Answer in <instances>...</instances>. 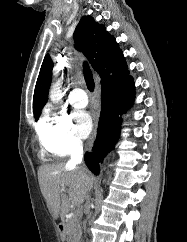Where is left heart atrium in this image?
I'll return each instance as SVG.
<instances>
[{
  "mask_svg": "<svg viewBox=\"0 0 187 242\" xmlns=\"http://www.w3.org/2000/svg\"><path fill=\"white\" fill-rule=\"evenodd\" d=\"M74 119L76 133L80 137L86 138L93 128V119L91 115L87 111H77L74 113Z\"/></svg>",
  "mask_w": 187,
  "mask_h": 242,
  "instance_id": "1",
  "label": "left heart atrium"
}]
</instances>
